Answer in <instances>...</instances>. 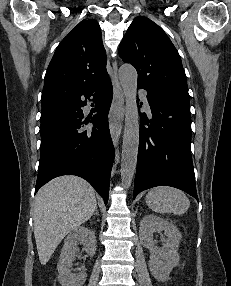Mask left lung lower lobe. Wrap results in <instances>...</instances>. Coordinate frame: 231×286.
Masks as SVG:
<instances>
[{
    "label": "left lung lower lobe",
    "mask_w": 231,
    "mask_h": 286,
    "mask_svg": "<svg viewBox=\"0 0 231 286\" xmlns=\"http://www.w3.org/2000/svg\"><path fill=\"white\" fill-rule=\"evenodd\" d=\"M138 87L148 92L152 119L149 121L145 113L140 114L133 197L145 189L165 185L181 189L198 201L190 148V100Z\"/></svg>",
    "instance_id": "0a47b994"
}]
</instances>
